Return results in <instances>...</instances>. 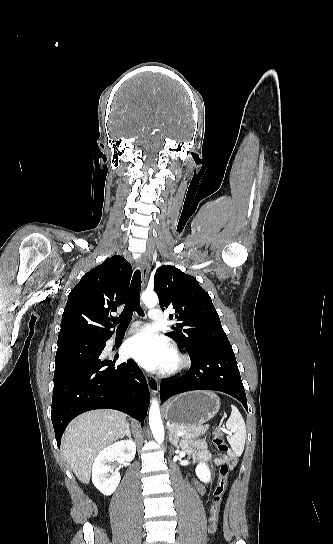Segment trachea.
Returning a JSON list of instances; mask_svg holds the SVG:
<instances>
[{"instance_id":"obj_1","label":"trachea","mask_w":333,"mask_h":544,"mask_svg":"<svg viewBox=\"0 0 333 544\" xmlns=\"http://www.w3.org/2000/svg\"><path fill=\"white\" fill-rule=\"evenodd\" d=\"M141 283V272L140 270H136L131 281L125 307L119 317L112 318L114 324H119L118 330L127 329L134 311H136L139 316H144V311L140 306L139 300Z\"/></svg>"}]
</instances>
